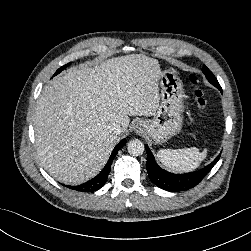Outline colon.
<instances>
[{
  "instance_id": "colon-1",
  "label": "colon",
  "mask_w": 251,
  "mask_h": 251,
  "mask_svg": "<svg viewBox=\"0 0 251 251\" xmlns=\"http://www.w3.org/2000/svg\"><path fill=\"white\" fill-rule=\"evenodd\" d=\"M190 81L192 84L195 85L194 97H195L196 104L200 112L205 114L207 113L208 108H209V97L207 93L198 85L199 80L196 75H191Z\"/></svg>"
}]
</instances>
